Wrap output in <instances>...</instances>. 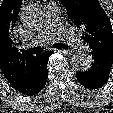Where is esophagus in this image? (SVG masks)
Wrapping results in <instances>:
<instances>
[{
  "instance_id": "1",
  "label": "esophagus",
  "mask_w": 113,
  "mask_h": 113,
  "mask_svg": "<svg viewBox=\"0 0 113 113\" xmlns=\"http://www.w3.org/2000/svg\"><path fill=\"white\" fill-rule=\"evenodd\" d=\"M54 50L58 51V52H61V53L65 54V55H71L73 53V51L70 50V49H54Z\"/></svg>"
}]
</instances>
